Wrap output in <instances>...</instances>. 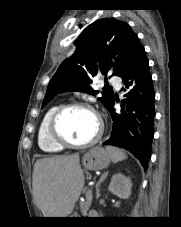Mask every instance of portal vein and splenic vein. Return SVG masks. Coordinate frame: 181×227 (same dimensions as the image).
<instances>
[{
    "label": "portal vein and splenic vein",
    "mask_w": 181,
    "mask_h": 227,
    "mask_svg": "<svg viewBox=\"0 0 181 227\" xmlns=\"http://www.w3.org/2000/svg\"><path fill=\"white\" fill-rule=\"evenodd\" d=\"M87 197H88V199L90 200V202L92 201V190L91 189H89L88 191H87Z\"/></svg>",
    "instance_id": "obj_1"
}]
</instances>
